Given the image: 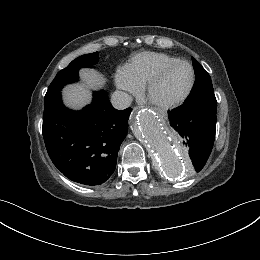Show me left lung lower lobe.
Returning a JSON list of instances; mask_svg holds the SVG:
<instances>
[{
    "label": "left lung lower lobe",
    "instance_id": "obj_1",
    "mask_svg": "<svg viewBox=\"0 0 260 260\" xmlns=\"http://www.w3.org/2000/svg\"><path fill=\"white\" fill-rule=\"evenodd\" d=\"M217 101L202 100L168 112L174 135L189 151L192 169L199 172L206 164L215 139Z\"/></svg>",
    "mask_w": 260,
    "mask_h": 260
}]
</instances>
